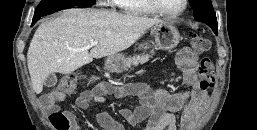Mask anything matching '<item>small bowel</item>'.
I'll return each mask as SVG.
<instances>
[{
    "instance_id": "small-bowel-1",
    "label": "small bowel",
    "mask_w": 257,
    "mask_h": 130,
    "mask_svg": "<svg viewBox=\"0 0 257 130\" xmlns=\"http://www.w3.org/2000/svg\"><path fill=\"white\" fill-rule=\"evenodd\" d=\"M176 63L182 73L183 83L187 90L179 93H169L157 88L136 83L125 85H113L101 82L90 90L83 91L76 99V106L86 110L88 105L104 103L109 96L122 99L134 96L138 99V106L134 109L121 108V116L131 125L145 122L143 130H190L207 102V93L200 88L197 76L198 56L189 48L178 52ZM64 98L63 93L55 90L45 94L41 104L45 110L58 111L57 102ZM180 112L179 124L174 113ZM66 113L71 121L70 130H81L79 120L70 112ZM97 122L105 130H125V127L115 120L107 111L101 110L95 113Z\"/></svg>"
}]
</instances>
